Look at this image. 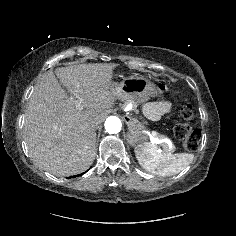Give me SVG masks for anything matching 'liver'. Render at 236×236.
<instances>
[{
  "instance_id": "obj_1",
  "label": "liver",
  "mask_w": 236,
  "mask_h": 236,
  "mask_svg": "<svg viewBox=\"0 0 236 236\" xmlns=\"http://www.w3.org/2000/svg\"><path fill=\"white\" fill-rule=\"evenodd\" d=\"M117 64H80L42 75L27 103L25 141L30 157L56 176L86 171L95 159L96 132L117 99L112 73ZM59 81L67 89L62 88ZM80 101L82 109L76 107Z\"/></svg>"
}]
</instances>
